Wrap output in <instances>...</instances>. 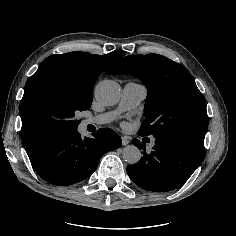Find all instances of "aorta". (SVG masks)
Returning a JSON list of instances; mask_svg holds the SVG:
<instances>
[{
  "label": "aorta",
  "instance_id": "1",
  "mask_svg": "<svg viewBox=\"0 0 236 236\" xmlns=\"http://www.w3.org/2000/svg\"><path fill=\"white\" fill-rule=\"evenodd\" d=\"M96 100L105 106L116 104L121 97L120 85L112 80H104L95 88ZM122 157L128 164H135L141 158L140 150L134 145H128L123 149Z\"/></svg>",
  "mask_w": 236,
  "mask_h": 236
}]
</instances>
